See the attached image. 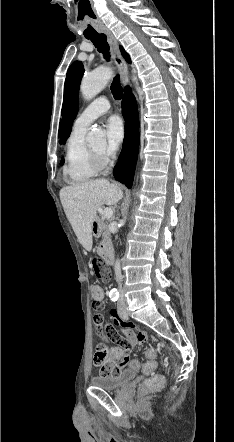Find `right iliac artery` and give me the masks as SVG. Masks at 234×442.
Instances as JSON below:
<instances>
[{"label": "right iliac artery", "instance_id": "obj_1", "mask_svg": "<svg viewBox=\"0 0 234 442\" xmlns=\"http://www.w3.org/2000/svg\"><path fill=\"white\" fill-rule=\"evenodd\" d=\"M109 297H110V299H111L112 301H117V300H118V297H119V294H118V292H110V293H109Z\"/></svg>", "mask_w": 234, "mask_h": 442}]
</instances>
